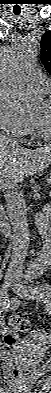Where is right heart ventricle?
Returning a JSON list of instances; mask_svg holds the SVG:
<instances>
[{"label": "right heart ventricle", "instance_id": "right-heart-ventricle-1", "mask_svg": "<svg viewBox=\"0 0 51 393\" xmlns=\"http://www.w3.org/2000/svg\"><path fill=\"white\" fill-rule=\"evenodd\" d=\"M30 133H35V134L39 133V130H38L34 120H30Z\"/></svg>", "mask_w": 51, "mask_h": 393}]
</instances>
